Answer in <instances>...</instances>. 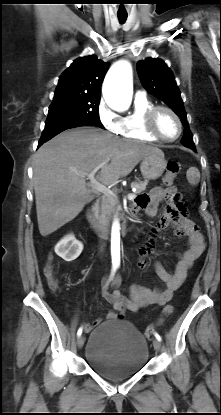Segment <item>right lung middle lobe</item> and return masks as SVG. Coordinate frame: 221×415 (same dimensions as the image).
Returning <instances> with one entry per match:
<instances>
[{
  "label": "right lung middle lobe",
  "mask_w": 221,
  "mask_h": 415,
  "mask_svg": "<svg viewBox=\"0 0 221 415\" xmlns=\"http://www.w3.org/2000/svg\"><path fill=\"white\" fill-rule=\"evenodd\" d=\"M100 96L60 93L54 94L47 120H81L104 128L99 118Z\"/></svg>",
  "instance_id": "obj_1"
}]
</instances>
